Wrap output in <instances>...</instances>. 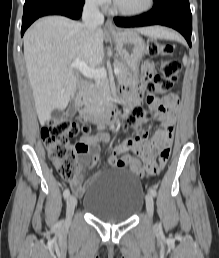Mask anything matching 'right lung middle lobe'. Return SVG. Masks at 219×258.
<instances>
[{
    "instance_id": "right-lung-middle-lobe-1",
    "label": "right lung middle lobe",
    "mask_w": 219,
    "mask_h": 258,
    "mask_svg": "<svg viewBox=\"0 0 219 258\" xmlns=\"http://www.w3.org/2000/svg\"><path fill=\"white\" fill-rule=\"evenodd\" d=\"M33 1H35V0H26V1H25V5L30 4V3L33 2Z\"/></svg>"
}]
</instances>
